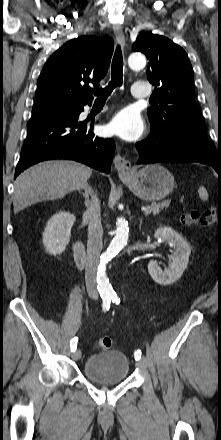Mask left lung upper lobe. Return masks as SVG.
<instances>
[{"label": "left lung upper lobe", "mask_w": 221, "mask_h": 440, "mask_svg": "<svg viewBox=\"0 0 221 440\" xmlns=\"http://www.w3.org/2000/svg\"><path fill=\"white\" fill-rule=\"evenodd\" d=\"M149 60L147 79L156 86L155 107L148 108L151 128L164 132L187 126L206 133L205 121L194 98L193 69L186 52L166 37L144 32L132 46Z\"/></svg>", "instance_id": "left-lung-upper-lobe-1"}]
</instances>
